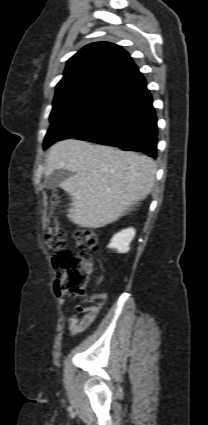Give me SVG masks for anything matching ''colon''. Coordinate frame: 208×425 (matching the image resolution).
Masks as SVG:
<instances>
[{
	"label": "colon",
	"instance_id": "colon-1",
	"mask_svg": "<svg viewBox=\"0 0 208 425\" xmlns=\"http://www.w3.org/2000/svg\"><path fill=\"white\" fill-rule=\"evenodd\" d=\"M55 201L54 195L53 205ZM73 237L78 252L66 249L65 231L58 216L53 212L47 216L45 245L53 255L54 270L60 280V291L67 296L84 298L91 269L90 252L97 248L98 235L92 229H78Z\"/></svg>",
	"mask_w": 208,
	"mask_h": 425
}]
</instances>
